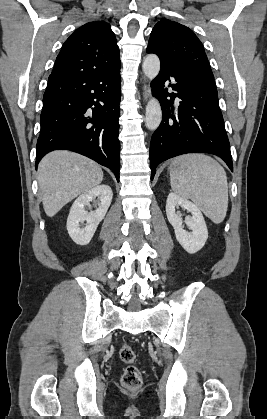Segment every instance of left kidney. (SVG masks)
<instances>
[{
    "label": "left kidney",
    "mask_w": 267,
    "mask_h": 419,
    "mask_svg": "<svg viewBox=\"0 0 267 419\" xmlns=\"http://www.w3.org/2000/svg\"><path fill=\"white\" fill-rule=\"evenodd\" d=\"M179 206L189 211L192 215L186 216L184 220L191 232L184 230L183 219L175 211V208ZM166 215L169 223L175 230L177 241L188 253L194 254L202 249L208 238V230L204 217L197 205L171 192L166 201Z\"/></svg>",
    "instance_id": "left-kidney-1"
}]
</instances>
